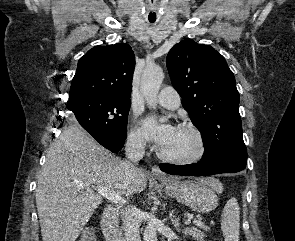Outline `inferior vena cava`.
I'll return each mask as SVG.
<instances>
[{"label":"inferior vena cava","mask_w":295,"mask_h":241,"mask_svg":"<svg viewBox=\"0 0 295 241\" xmlns=\"http://www.w3.org/2000/svg\"><path fill=\"white\" fill-rule=\"evenodd\" d=\"M145 154V142L137 136H130L125 146L126 160L123 162L124 176L132 180L139 172L135 163ZM125 231V241H141L139 228L141 220L137 208L130 206L121 211Z\"/></svg>","instance_id":"inferior-vena-cava-1"}]
</instances>
